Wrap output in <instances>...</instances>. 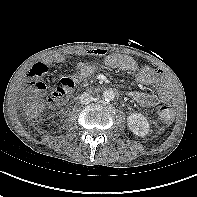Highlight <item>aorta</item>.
Listing matches in <instances>:
<instances>
[{"mask_svg":"<svg viewBox=\"0 0 197 197\" xmlns=\"http://www.w3.org/2000/svg\"><path fill=\"white\" fill-rule=\"evenodd\" d=\"M115 98V93L112 90H105L103 92V99L107 102L112 101Z\"/></svg>","mask_w":197,"mask_h":197,"instance_id":"aorta-1","label":"aorta"}]
</instances>
